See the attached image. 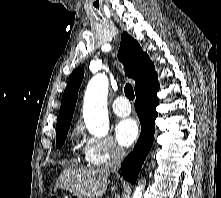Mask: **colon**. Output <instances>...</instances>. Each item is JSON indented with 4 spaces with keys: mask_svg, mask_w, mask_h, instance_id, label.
I'll return each instance as SVG.
<instances>
[{
    "mask_svg": "<svg viewBox=\"0 0 221 198\" xmlns=\"http://www.w3.org/2000/svg\"><path fill=\"white\" fill-rule=\"evenodd\" d=\"M51 198H57V197L53 196V197H51Z\"/></svg>",
    "mask_w": 221,
    "mask_h": 198,
    "instance_id": "1",
    "label": "colon"
}]
</instances>
